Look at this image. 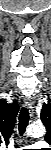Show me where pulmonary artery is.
<instances>
[{
  "label": "pulmonary artery",
  "instance_id": "1",
  "mask_svg": "<svg viewBox=\"0 0 51 150\" xmlns=\"http://www.w3.org/2000/svg\"><path fill=\"white\" fill-rule=\"evenodd\" d=\"M44 146H46V143L40 141V142L35 143L32 146H28V148H42ZM17 150H22V149H17Z\"/></svg>",
  "mask_w": 51,
  "mask_h": 150
}]
</instances>
